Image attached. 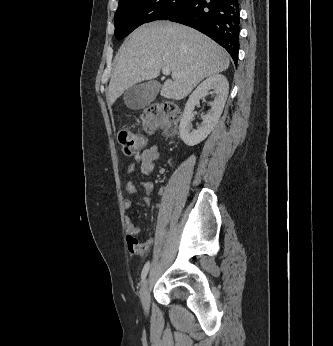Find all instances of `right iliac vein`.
<instances>
[{
	"mask_svg": "<svg viewBox=\"0 0 333 346\" xmlns=\"http://www.w3.org/2000/svg\"><path fill=\"white\" fill-rule=\"evenodd\" d=\"M140 299L145 314H148L150 305V288L148 279H145L141 285Z\"/></svg>",
	"mask_w": 333,
	"mask_h": 346,
	"instance_id": "1",
	"label": "right iliac vein"
}]
</instances>
